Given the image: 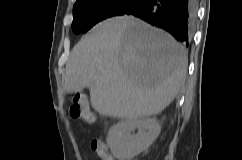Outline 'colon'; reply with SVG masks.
Masks as SVG:
<instances>
[{"instance_id": "obj_1", "label": "colon", "mask_w": 242, "mask_h": 160, "mask_svg": "<svg viewBox=\"0 0 242 160\" xmlns=\"http://www.w3.org/2000/svg\"><path fill=\"white\" fill-rule=\"evenodd\" d=\"M70 115L74 118L81 119L88 123H94L95 117L93 115V112L91 108L89 107V104L87 102L86 97L81 93H76L70 102L69 107ZM95 149L102 147V150L97 153L101 160H103L104 157L110 155L107 151L106 147L103 146L101 141H95Z\"/></svg>"}]
</instances>
